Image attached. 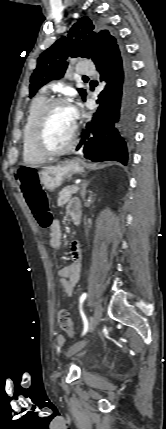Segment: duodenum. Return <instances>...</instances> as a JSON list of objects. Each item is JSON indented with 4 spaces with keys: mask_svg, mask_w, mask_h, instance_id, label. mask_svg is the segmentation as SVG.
Segmentation results:
<instances>
[{
    "mask_svg": "<svg viewBox=\"0 0 166 429\" xmlns=\"http://www.w3.org/2000/svg\"><path fill=\"white\" fill-rule=\"evenodd\" d=\"M72 220L75 224H79L80 222V212L79 211H74L71 214Z\"/></svg>",
    "mask_w": 166,
    "mask_h": 429,
    "instance_id": "obj_1",
    "label": "duodenum"
}]
</instances>
